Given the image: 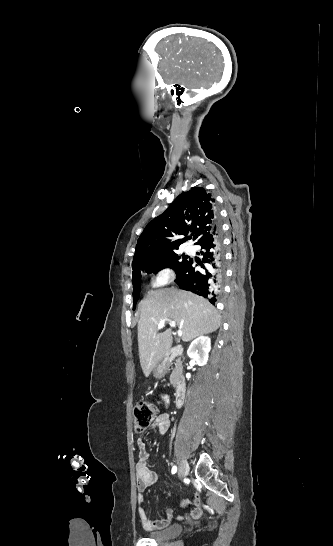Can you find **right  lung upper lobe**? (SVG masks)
Listing matches in <instances>:
<instances>
[{"mask_svg": "<svg viewBox=\"0 0 333 546\" xmlns=\"http://www.w3.org/2000/svg\"><path fill=\"white\" fill-rule=\"evenodd\" d=\"M216 226L215 199L202 187L180 194L164 213L147 224L133 257V276L159 265L163 256L186 239L171 241L174 234L192 233L199 241Z\"/></svg>", "mask_w": 333, "mask_h": 546, "instance_id": "cb5924a9", "label": "right lung upper lobe"}]
</instances>
